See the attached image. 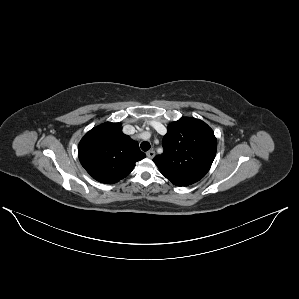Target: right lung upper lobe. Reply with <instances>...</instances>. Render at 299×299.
Listing matches in <instances>:
<instances>
[{"label": "right lung upper lobe", "mask_w": 299, "mask_h": 299, "mask_svg": "<svg viewBox=\"0 0 299 299\" xmlns=\"http://www.w3.org/2000/svg\"><path fill=\"white\" fill-rule=\"evenodd\" d=\"M85 170L101 183L113 184L126 177L146 155L138 142L122 132L120 123L106 122L85 134L78 146Z\"/></svg>", "instance_id": "cb5924a9"}]
</instances>
